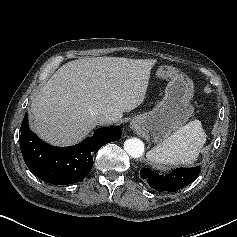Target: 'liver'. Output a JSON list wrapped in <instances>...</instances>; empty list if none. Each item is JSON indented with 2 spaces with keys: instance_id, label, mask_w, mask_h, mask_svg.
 <instances>
[{
  "instance_id": "obj_1",
  "label": "liver",
  "mask_w": 237,
  "mask_h": 237,
  "mask_svg": "<svg viewBox=\"0 0 237 237\" xmlns=\"http://www.w3.org/2000/svg\"><path fill=\"white\" fill-rule=\"evenodd\" d=\"M155 59L95 57L61 66L31 104L32 129L46 142L74 144L109 113L121 120L124 112L145 99Z\"/></svg>"
}]
</instances>
